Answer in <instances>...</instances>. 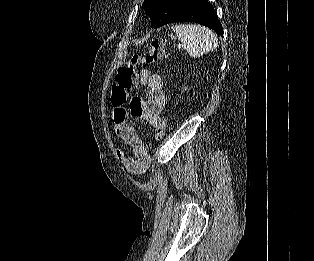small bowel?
Segmentation results:
<instances>
[{"label": "small bowel", "mask_w": 314, "mask_h": 261, "mask_svg": "<svg viewBox=\"0 0 314 261\" xmlns=\"http://www.w3.org/2000/svg\"><path fill=\"white\" fill-rule=\"evenodd\" d=\"M138 78L140 84L148 89L146 98H132L128 108L125 103L113 104L111 102L115 133L130 151V154H128L120 149L117 156L126 172L132 175L144 174L150 167L151 156L139 133L130 124L129 118L146 120L153 128H156L162 121L160 114L166 103L163 90L164 83L159 74L144 68L140 70Z\"/></svg>", "instance_id": "small-bowel-1"}]
</instances>
